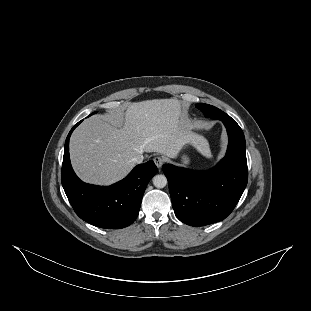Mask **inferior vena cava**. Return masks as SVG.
<instances>
[{
    "mask_svg": "<svg viewBox=\"0 0 311 311\" xmlns=\"http://www.w3.org/2000/svg\"><path fill=\"white\" fill-rule=\"evenodd\" d=\"M144 160L143 154H138L136 157L132 158V161L135 163H142Z\"/></svg>",
    "mask_w": 311,
    "mask_h": 311,
    "instance_id": "602c4592",
    "label": "inferior vena cava"
}]
</instances>
